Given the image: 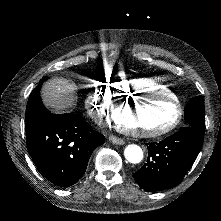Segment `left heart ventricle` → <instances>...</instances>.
Listing matches in <instances>:
<instances>
[{"label": "left heart ventricle", "mask_w": 221, "mask_h": 221, "mask_svg": "<svg viewBox=\"0 0 221 221\" xmlns=\"http://www.w3.org/2000/svg\"><path fill=\"white\" fill-rule=\"evenodd\" d=\"M173 114V106L160 100H147L140 105L119 104L114 120L133 129H151L165 124Z\"/></svg>", "instance_id": "1"}]
</instances>
